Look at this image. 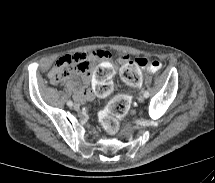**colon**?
Segmentation results:
<instances>
[{"label": "colon", "instance_id": "colon-1", "mask_svg": "<svg viewBox=\"0 0 215 183\" xmlns=\"http://www.w3.org/2000/svg\"><path fill=\"white\" fill-rule=\"evenodd\" d=\"M162 64L157 60H149L146 58H135L128 61L121 69V78L129 86L131 92L140 90L141 68H146L150 71L157 72L161 69ZM71 72V67L67 64L57 62L52 71L54 80H59ZM130 102L126 94L114 96L108 103L106 108L100 113L99 120L103 129L113 134L118 130V119L122 117L129 108Z\"/></svg>", "mask_w": 215, "mask_h": 183}]
</instances>
